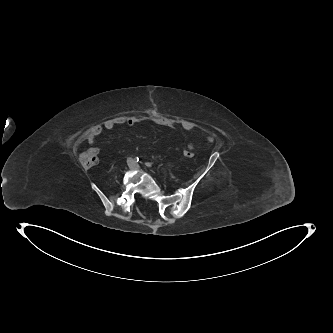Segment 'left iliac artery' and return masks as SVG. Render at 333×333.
<instances>
[{"label":"left iliac artery","mask_w":333,"mask_h":333,"mask_svg":"<svg viewBox=\"0 0 333 333\" xmlns=\"http://www.w3.org/2000/svg\"><path fill=\"white\" fill-rule=\"evenodd\" d=\"M146 166L152 167V164L151 163H146Z\"/></svg>","instance_id":"left-iliac-artery-1"}]
</instances>
